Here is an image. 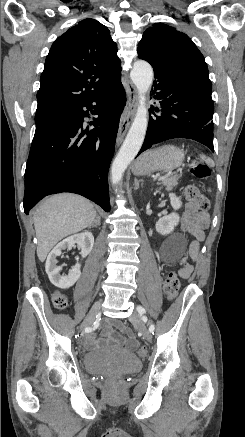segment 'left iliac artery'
Here are the masks:
<instances>
[{
  "mask_svg": "<svg viewBox=\"0 0 245 437\" xmlns=\"http://www.w3.org/2000/svg\"><path fill=\"white\" fill-rule=\"evenodd\" d=\"M137 312L140 314V316H142V320H143L144 322H146V321H147V318H146L145 316H143V314L146 313V310H145L142 306L139 305V306H137ZM154 329H155V326H154L153 324H151V325L149 326V331H150V332H153Z\"/></svg>",
  "mask_w": 245,
  "mask_h": 437,
  "instance_id": "1",
  "label": "left iliac artery"
}]
</instances>
